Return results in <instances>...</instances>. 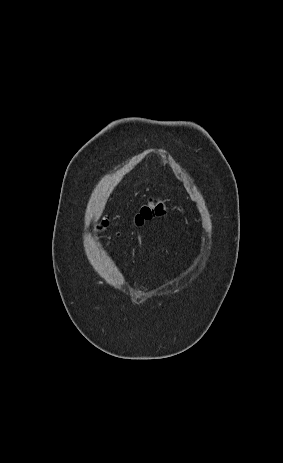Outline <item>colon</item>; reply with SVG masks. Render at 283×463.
Here are the masks:
<instances>
[{
  "label": "colon",
  "mask_w": 283,
  "mask_h": 463,
  "mask_svg": "<svg viewBox=\"0 0 283 463\" xmlns=\"http://www.w3.org/2000/svg\"><path fill=\"white\" fill-rule=\"evenodd\" d=\"M165 213L164 207L161 203L155 202L153 200L148 201L146 204L142 205L140 210L135 216V222L137 225L143 224L145 221L153 218L162 216ZM108 221H102L101 227H108Z\"/></svg>",
  "instance_id": "1"
}]
</instances>
